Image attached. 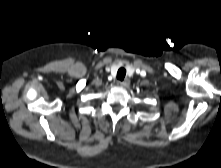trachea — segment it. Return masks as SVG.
Returning <instances> with one entry per match:
<instances>
[{
    "mask_svg": "<svg viewBox=\"0 0 221 168\" xmlns=\"http://www.w3.org/2000/svg\"><path fill=\"white\" fill-rule=\"evenodd\" d=\"M125 75H126V70L124 68H120L117 72V79L123 81Z\"/></svg>",
    "mask_w": 221,
    "mask_h": 168,
    "instance_id": "3493384b",
    "label": "trachea"
}]
</instances>
